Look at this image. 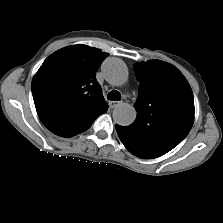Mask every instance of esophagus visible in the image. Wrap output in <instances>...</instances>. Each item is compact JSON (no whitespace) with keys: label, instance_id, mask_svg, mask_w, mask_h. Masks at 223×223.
Returning <instances> with one entry per match:
<instances>
[{"label":"esophagus","instance_id":"1","mask_svg":"<svg viewBox=\"0 0 223 223\" xmlns=\"http://www.w3.org/2000/svg\"><path fill=\"white\" fill-rule=\"evenodd\" d=\"M119 104H121L120 101H110L109 102V106L111 109L115 108L116 106H118Z\"/></svg>","mask_w":223,"mask_h":223}]
</instances>
